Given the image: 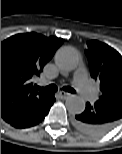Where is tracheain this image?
Wrapping results in <instances>:
<instances>
[{"mask_svg": "<svg viewBox=\"0 0 122 154\" xmlns=\"http://www.w3.org/2000/svg\"><path fill=\"white\" fill-rule=\"evenodd\" d=\"M38 89L43 90V91H48V92H55L58 90V87L54 84H51L49 86L46 87H38ZM64 91L70 92V93H75L76 91L68 86L63 87Z\"/></svg>", "mask_w": 122, "mask_h": 154, "instance_id": "trachea-1", "label": "trachea"}]
</instances>
